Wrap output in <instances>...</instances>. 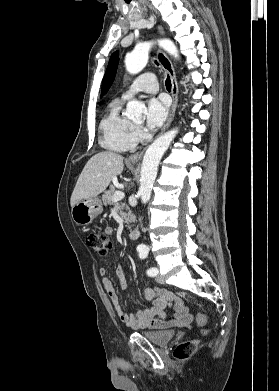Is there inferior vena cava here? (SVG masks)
Wrapping results in <instances>:
<instances>
[{"label":"inferior vena cava","instance_id":"1","mask_svg":"<svg viewBox=\"0 0 279 391\" xmlns=\"http://www.w3.org/2000/svg\"><path fill=\"white\" fill-rule=\"evenodd\" d=\"M141 220H142V219H141V218H139V221H140V222H141Z\"/></svg>","mask_w":279,"mask_h":391}]
</instances>
